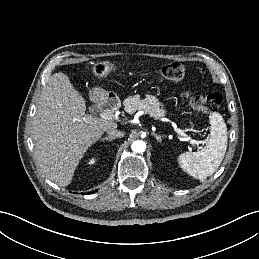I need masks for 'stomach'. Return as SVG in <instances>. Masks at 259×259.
I'll return each instance as SVG.
<instances>
[{
    "label": "stomach",
    "instance_id": "obj_1",
    "mask_svg": "<svg viewBox=\"0 0 259 259\" xmlns=\"http://www.w3.org/2000/svg\"><path fill=\"white\" fill-rule=\"evenodd\" d=\"M116 67L109 62H97L92 68V72L95 77L101 79L106 78L109 73L115 71ZM93 94H101L100 88L95 87Z\"/></svg>",
    "mask_w": 259,
    "mask_h": 259
}]
</instances>
